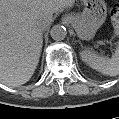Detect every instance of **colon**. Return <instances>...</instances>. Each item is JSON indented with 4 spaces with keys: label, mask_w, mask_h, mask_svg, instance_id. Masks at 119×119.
<instances>
[{
    "label": "colon",
    "mask_w": 119,
    "mask_h": 119,
    "mask_svg": "<svg viewBox=\"0 0 119 119\" xmlns=\"http://www.w3.org/2000/svg\"><path fill=\"white\" fill-rule=\"evenodd\" d=\"M110 20L115 35L119 34V5L116 4L110 11Z\"/></svg>",
    "instance_id": "obj_1"
}]
</instances>
